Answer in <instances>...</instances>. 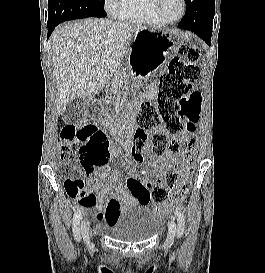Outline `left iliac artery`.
Returning a JSON list of instances; mask_svg holds the SVG:
<instances>
[{"label":"left iliac artery","mask_w":265,"mask_h":273,"mask_svg":"<svg viewBox=\"0 0 265 273\" xmlns=\"http://www.w3.org/2000/svg\"><path fill=\"white\" fill-rule=\"evenodd\" d=\"M175 215L177 217V223H178L177 236L180 238L185 231V218L183 213L180 210H176Z\"/></svg>","instance_id":"44dca946"}]
</instances>
